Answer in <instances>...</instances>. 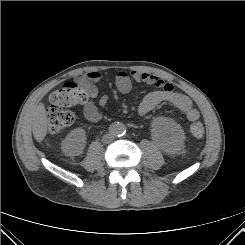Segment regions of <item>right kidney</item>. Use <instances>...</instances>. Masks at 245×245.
Wrapping results in <instances>:
<instances>
[{"label":"right kidney","mask_w":245,"mask_h":245,"mask_svg":"<svg viewBox=\"0 0 245 245\" xmlns=\"http://www.w3.org/2000/svg\"><path fill=\"white\" fill-rule=\"evenodd\" d=\"M86 144V132L82 128L72 130L62 143V150L70 156H77L82 153Z\"/></svg>","instance_id":"obj_1"}]
</instances>
